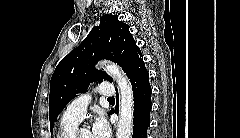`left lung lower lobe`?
<instances>
[{"label": "left lung lower lobe", "mask_w": 240, "mask_h": 138, "mask_svg": "<svg viewBox=\"0 0 240 138\" xmlns=\"http://www.w3.org/2000/svg\"><path fill=\"white\" fill-rule=\"evenodd\" d=\"M134 94V129L132 138H147V129L150 124L151 86L148 71L143 62L141 52L134 58L127 70ZM111 110L109 114H113ZM117 113V110H116Z\"/></svg>", "instance_id": "obj_1"}]
</instances>
